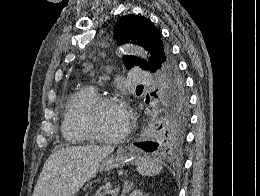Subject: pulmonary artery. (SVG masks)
Here are the masks:
<instances>
[{
  "label": "pulmonary artery",
  "instance_id": "1",
  "mask_svg": "<svg viewBox=\"0 0 260 196\" xmlns=\"http://www.w3.org/2000/svg\"><path fill=\"white\" fill-rule=\"evenodd\" d=\"M133 84H154L151 72H142V69H131Z\"/></svg>",
  "mask_w": 260,
  "mask_h": 196
}]
</instances>
